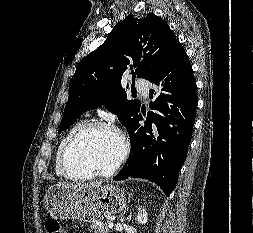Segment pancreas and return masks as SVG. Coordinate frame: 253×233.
<instances>
[{"label":"pancreas","mask_w":253,"mask_h":233,"mask_svg":"<svg viewBox=\"0 0 253 233\" xmlns=\"http://www.w3.org/2000/svg\"><path fill=\"white\" fill-rule=\"evenodd\" d=\"M89 231L91 233H108L109 228L107 226V223L96 225V224H91Z\"/></svg>","instance_id":"1"}]
</instances>
